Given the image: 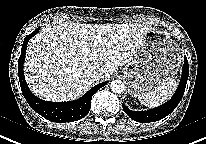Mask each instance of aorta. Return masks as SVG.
Masks as SVG:
<instances>
[{
    "label": "aorta",
    "mask_w": 206,
    "mask_h": 144,
    "mask_svg": "<svg viewBox=\"0 0 206 144\" xmlns=\"http://www.w3.org/2000/svg\"><path fill=\"white\" fill-rule=\"evenodd\" d=\"M111 91L114 93H122L124 91V83L121 80H113L110 84Z\"/></svg>",
    "instance_id": "aorta-1"
}]
</instances>
